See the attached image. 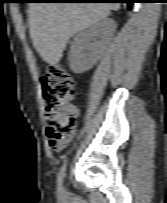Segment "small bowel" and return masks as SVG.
<instances>
[{
	"label": "small bowel",
	"instance_id": "1",
	"mask_svg": "<svg viewBox=\"0 0 167 203\" xmlns=\"http://www.w3.org/2000/svg\"><path fill=\"white\" fill-rule=\"evenodd\" d=\"M69 142H70V137H65V138L61 139L56 146H54V147L51 146V147L54 151L59 153V152H62L66 148V146L68 145Z\"/></svg>",
	"mask_w": 167,
	"mask_h": 203
}]
</instances>
